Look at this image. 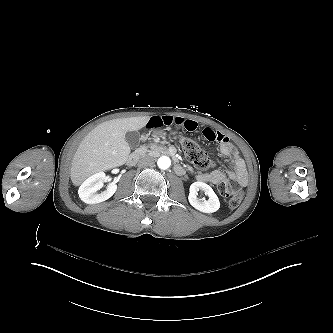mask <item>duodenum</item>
<instances>
[{"instance_id":"1","label":"duodenum","mask_w":333,"mask_h":333,"mask_svg":"<svg viewBox=\"0 0 333 333\" xmlns=\"http://www.w3.org/2000/svg\"><path fill=\"white\" fill-rule=\"evenodd\" d=\"M141 155H142V150H136L132 152L127 158V164L129 166H134L139 161ZM174 168L178 174H183L185 172L184 167L179 163H176Z\"/></svg>"}]
</instances>
